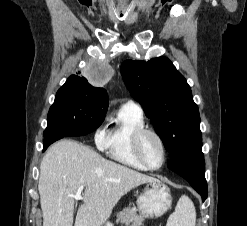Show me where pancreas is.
<instances>
[{
    "label": "pancreas",
    "instance_id": "cf45deb5",
    "mask_svg": "<svg viewBox=\"0 0 247 226\" xmlns=\"http://www.w3.org/2000/svg\"><path fill=\"white\" fill-rule=\"evenodd\" d=\"M142 219V216L137 215L135 208L128 207L117 214V221H120L121 223L140 222Z\"/></svg>",
    "mask_w": 247,
    "mask_h": 226
}]
</instances>
